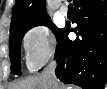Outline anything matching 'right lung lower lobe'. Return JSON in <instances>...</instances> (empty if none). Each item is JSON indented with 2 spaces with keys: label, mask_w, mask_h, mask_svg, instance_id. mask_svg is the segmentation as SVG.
Returning <instances> with one entry per match:
<instances>
[{
  "label": "right lung lower lobe",
  "mask_w": 107,
  "mask_h": 89,
  "mask_svg": "<svg viewBox=\"0 0 107 89\" xmlns=\"http://www.w3.org/2000/svg\"><path fill=\"white\" fill-rule=\"evenodd\" d=\"M76 28L65 26L55 52V74L66 84L104 89L107 73V0H74ZM70 31L78 36L68 39Z\"/></svg>",
  "instance_id": "obj_1"
}]
</instances>
